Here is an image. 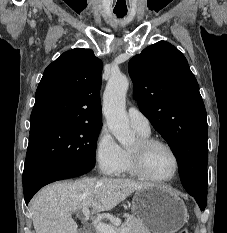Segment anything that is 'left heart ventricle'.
<instances>
[{"label":"left heart ventricle","instance_id":"1","mask_svg":"<svg viewBox=\"0 0 227 233\" xmlns=\"http://www.w3.org/2000/svg\"><path fill=\"white\" fill-rule=\"evenodd\" d=\"M136 142L132 148L137 146ZM145 165L150 174L158 178H167L174 172L175 163L171 153L162 146L151 148L145 156Z\"/></svg>","mask_w":227,"mask_h":233}]
</instances>
